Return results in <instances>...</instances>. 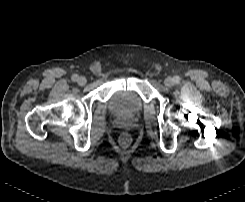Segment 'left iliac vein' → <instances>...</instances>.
Listing matches in <instances>:
<instances>
[{"label": "left iliac vein", "mask_w": 245, "mask_h": 202, "mask_svg": "<svg viewBox=\"0 0 245 202\" xmlns=\"http://www.w3.org/2000/svg\"><path fill=\"white\" fill-rule=\"evenodd\" d=\"M164 83L167 87H171L174 84V80L171 77H167Z\"/></svg>", "instance_id": "1"}]
</instances>
